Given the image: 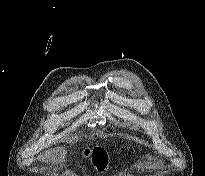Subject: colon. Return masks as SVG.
<instances>
[{
	"instance_id": "5ec220e1",
	"label": "colon",
	"mask_w": 205,
	"mask_h": 176,
	"mask_svg": "<svg viewBox=\"0 0 205 176\" xmlns=\"http://www.w3.org/2000/svg\"><path fill=\"white\" fill-rule=\"evenodd\" d=\"M86 156L91 158L92 164L97 168L101 170L106 168L108 163V158H107V154L103 150L94 148L92 150L87 151ZM146 157L149 158L150 156L147 155Z\"/></svg>"
}]
</instances>
